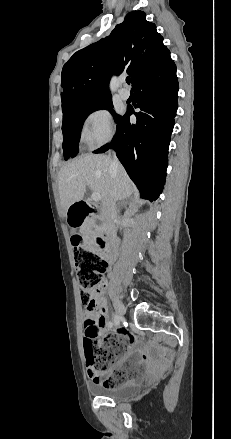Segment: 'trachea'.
<instances>
[{"instance_id": "obj_1", "label": "trachea", "mask_w": 231, "mask_h": 439, "mask_svg": "<svg viewBox=\"0 0 231 439\" xmlns=\"http://www.w3.org/2000/svg\"><path fill=\"white\" fill-rule=\"evenodd\" d=\"M126 82H127L128 84H130V82H131L130 77H127V78H126Z\"/></svg>"}]
</instances>
